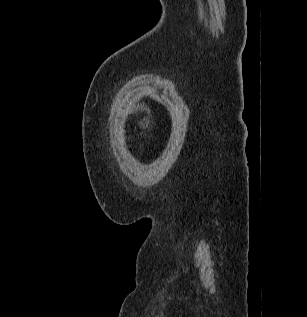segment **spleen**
I'll list each match as a JSON object with an SVG mask.
<instances>
[{"label":"spleen","mask_w":307,"mask_h":317,"mask_svg":"<svg viewBox=\"0 0 307 317\" xmlns=\"http://www.w3.org/2000/svg\"><path fill=\"white\" fill-rule=\"evenodd\" d=\"M133 111H134L135 113H139V112L141 111V108H140L139 106H135V107L133 108Z\"/></svg>","instance_id":"spleen-1"}]
</instances>
